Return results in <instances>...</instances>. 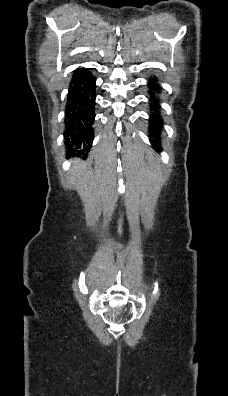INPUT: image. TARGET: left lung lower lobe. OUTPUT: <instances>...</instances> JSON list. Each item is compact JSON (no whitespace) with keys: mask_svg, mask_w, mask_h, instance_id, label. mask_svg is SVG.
<instances>
[{"mask_svg":"<svg viewBox=\"0 0 228 396\" xmlns=\"http://www.w3.org/2000/svg\"><path fill=\"white\" fill-rule=\"evenodd\" d=\"M150 89V107L152 113H150V120H149V132L150 135L153 139H151V142L153 143L154 147H158L159 151L162 150L160 147V132L162 128V119L160 118V106L158 104L159 99L156 96V93H159L161 91V87L157 84V79L156 78H151L149 80V85Z\"/></svg>","mask_w":228,"mask_h":396,"instance_id":"0a47b994","label":"left lung lower lobe"}]
</instances>
